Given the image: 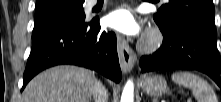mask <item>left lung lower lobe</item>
Returning a JSON list of instances; mask_svg holds the SVG:
<instances>
[{
  "mask_svg": "<svg viewBox=\"0 0 221 102\" xmlns=\"http://www.w3.org/2000/svg\"><path fill=\"white\" fill-rule=\"evenodd\" d=\"M161 32L164 40L159 50L140 59L142 72L194 69L206 73L221 87L216 33L189 21L178 22Z\"/></svg>",
  "mask_w": 221,
  "mask_h": 102,
  "instance_id": "1",
  "label": "left lung lower lobe"
}]
</instances>
